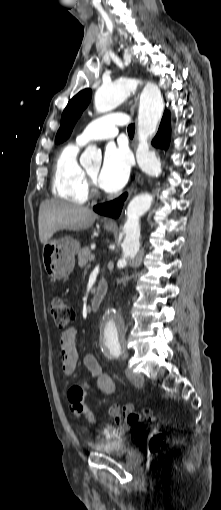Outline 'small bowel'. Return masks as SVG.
Wrapping results in <instances>:
<instances>
[{
	"mask_svg": "<svg viewBox=\"0 0 221 510\" xmlns=\"http://www.w3.org/2000/svg\"><path fill=\"white\" fill-rule=\"evenodd\" d=\"M76 338L77 330L75 328H70L62 332L59 338L61 369L63 374L66 376L72 375L76 369L78 359ZM84 365L92 377L97 380L99 392L102 395H110L114 391V382L110 376L102 371L95 354H86L84 356ZM87 388L88 385L85 384L82 387L78 386L76 389L72 387L68 390L67 397L70 404V410L75 416H80L88 412L85 404L83 403L85 390ZM110 409H114L117 412L110 414L114 417L116 426H107L110 428V433L105 434V436L108 439H116L130 429L131 426H129L126 422V415L133 411V406L125 405L120 407L118 405H113Z\"/></svg>",
	"mask_w": 221,
	"mask_h": 510,
	"instance_id": "1",
	"label": "small bowel"
}]
</instances>
